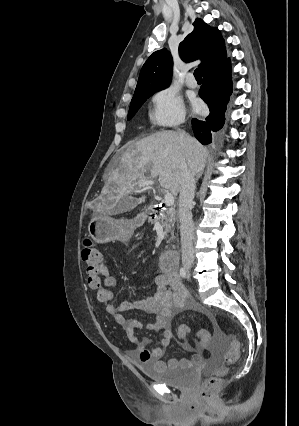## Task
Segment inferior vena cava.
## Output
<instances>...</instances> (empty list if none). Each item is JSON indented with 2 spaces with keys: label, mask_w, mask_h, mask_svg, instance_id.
I'll return each mask as SVG.
<instances>
[{
  "label": "inferior vena cava",
  "mask_w": 299,
  "mask_h": 426,
  "mask_svg": "<svg viewBox=\"0 0 299 426\" xmlns=\"http://www.w3.org/2000/svg\"><path fill=\"white\" fill-rule=\"evenodd\" d=\"M179 137L182 141H184L186 134L183 131H179ZM194 193V173L186 163L185 159H183L181 162L178 217L180 221L182 262L185 266H191L194 260V229L191 212L193 207Z\"/></svg>",
  "instance_id": "602c4592"
}]
</instances>
